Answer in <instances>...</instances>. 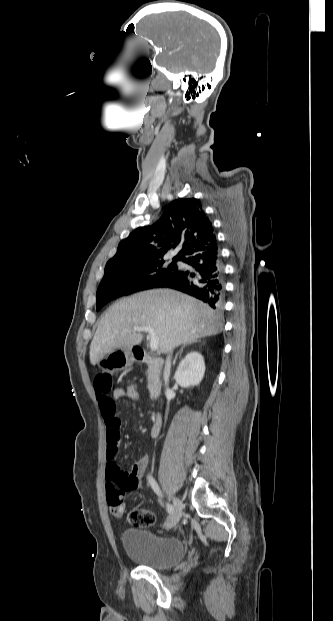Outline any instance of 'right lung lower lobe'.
<instances>
[{"label": "right lung lower lobe", "instance_id": "98d812e1", "mask_svg": "<svg viewBox=\"0 0 333 621\" xmlns=\"http://www.w3.org/2000/svg\"><path fill=\"white\" fill-rule=\"evenodd\" d=\"M192 269L174 272L159 287L173 288L194 296L214 309L224 300V267L217 243L201 251L189 253L182 259Z\"/></svg>", "mask_w": 333, "mask_h": 621}]
</instances>
